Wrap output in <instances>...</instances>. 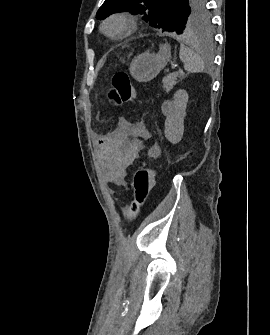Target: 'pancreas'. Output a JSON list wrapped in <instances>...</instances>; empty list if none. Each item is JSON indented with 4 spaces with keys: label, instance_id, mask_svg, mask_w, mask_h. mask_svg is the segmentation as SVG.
I'll return each instance as SVG.
<instances>
[{
    "label": "pancreas",
    "instance_id": "1",
    "mask_svg": "<svg viewBox=\"0 0 270 335\" xmlns=\"http://www.w3.org/2000/svg\"><path fill=\"white\" fill-rule=\"evenodd\" d=\"M179 76H183V74H180L179 72ZM177 78H178L177 74H169V76H166V78H163L162 80L163 88H165L166 92H170L173 86L177 84L176 82Z\"/></svg>",
    "mask_w": 270,
    "mask_h": 335
}]
</instances>
